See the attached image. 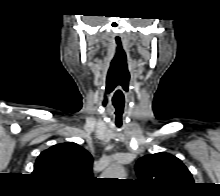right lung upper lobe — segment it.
I'll use <instances>...</instances> for the list:
<instances>
[{
	"label": "right lung upper lobe",
	"mask_w": 220,
	"mask_h": 196,
	"mask_svg": "<svg viewBox=\"0 0 220 196\" xmlns=\"http://www.w3.org/2000/svg\"><path fill=\"white\" fill-rule=\"evenodd\" d=\"M92 156L74 142L56 144L37 158L33 174L60 184H80L92 178Z\"/></svg>",
	"instance_id": "cb5924a9"
}]
</instances>
